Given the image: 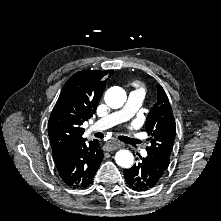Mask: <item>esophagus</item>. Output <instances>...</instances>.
<instances>
[{"mask_svg": "<svg viewBox=\"0 0 221 221\" xmlns=\"http://www.w3.org/2000/svg\"><path fill=\"white\" fill-rule=\"evenodd\" d=\"M120 147H121V143L119 142L108 141L104 144V148L108 151H113V150L119 149Z\"/></svg>", "mask_w": 221, "mask_h": 221, "instance_id": "34e87169", "label": "esophagus"}]
</instances>
